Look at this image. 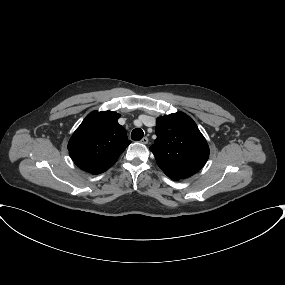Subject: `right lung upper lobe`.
I'll return each instance as SVG.
<instances>
[{"mask_svg": "<svg viewBox=\"0 0 285 285\" xmlns=\"http://www.w3.org/2000/svg\"><path fill=\"white\" fill-rule=\"evenodd\" d=\"M112 111H93L80 124L68 143L69 155L82 170L93 175L108 170L131 143Z\"/></svg>", "mask_w": 285, "mask_h": 285, "instance_id": "obj_1", "label": "right lung upper lobe"}]
</instances>
